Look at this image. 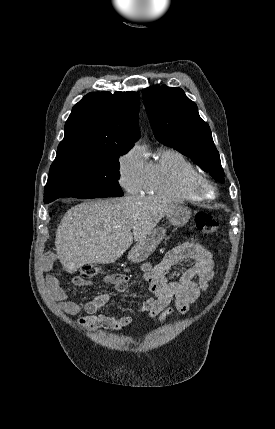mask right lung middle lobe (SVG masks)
Returning a JSON list of instances; mask_svg holds the SVG:
<instances>
[{"instance_id":"dd1d6c3e","label":"right lung middle lobe","mask_w":275,"mask_h":429,"mask_svg":"<svg viewBox=\"0 0 275 429\" xmlns=\"http://www.w3.org/2000/svg\"><path fill=\"white\" fill-rule=\"evenodd\" d=\"M126 152H93L57 155L50 167L44 203L58 198L118 197L119 156Z\"/></svg>"}]
</instances>
